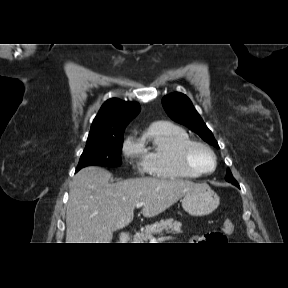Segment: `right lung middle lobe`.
<instances>
[{
    "label": "right lung middle lobe",
    "instance_id": "obj_1",
    "mask_svg": "<svg viewBox=\"0 0 288 288\" xmlns=\"http://www.w3.org/2000/svg\"><path fill=\"white\" fill-rule=\"evenodd\" d=\"M123 133L89 140L80 157L76 171L90 165L117 167L122 164Z\"/></svg>",
    "mask_w": 288,
    "mask_h": 288
}]
</instances>
